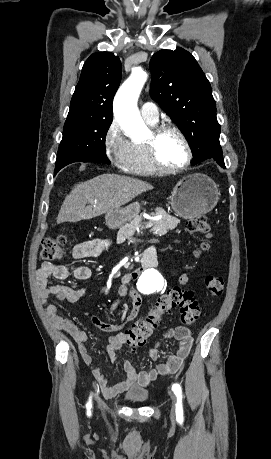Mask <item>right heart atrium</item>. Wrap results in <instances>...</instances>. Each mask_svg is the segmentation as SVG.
I'll use <instances>...</instances> for the list:
<instances>
[{
    "instance_id": "obj_1",
    "label": "right heart atrium",
    "mask_w": 271,
    "mask_h": 459,
    "mask_svg": "<svg viewBox=\"0 0 271 459\" xmlns=\"http://www.w3.org/2000/svg\"><path fill=\"white\" fill-rule=\"evenodd\" d=\"M106 157L117 168H123L127 158L129 141L125 138L115 120L111 121L102 136Z\"/></svg>"
}]
</instances>
